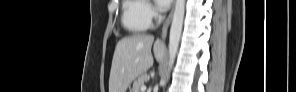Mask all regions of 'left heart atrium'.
<instances>
[{
  "instance_id": "left-heart-atrium-1",
  "label": "left heart atrium",
  "mask_w": 296,
  "mask_h": 92,
  "mask_svg": "<svg viewBox=\"0 0 296 92\" xmlns=\"http://www.w3.org/2000/svg\"><path fill=\"white\" fill-rule=\"evenodd\" d=\"M170 2H171L170 0H164V1L157 0L156 4L160 10H165L168 7V5L170 4Z\"/></svg>"
}]
</instances>
